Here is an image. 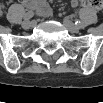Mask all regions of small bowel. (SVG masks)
Masks as SVG:
<instances>
[{
  "instance_id": "small-bowel-1",
  "label": "small bowel",
  "mask_w": 103,
  "mask_h": 103,
  "mask_svg": "<svg viewBox=\"0 0 103 103\" xmlns=\"http://www.w3.org/2000/svg\"><path fill=\"white\" fill-rule=\"evenodd\" d=\"M71 3L73 6H77L79 4V2L77 0H73ZM22 4L27 8L37 10L43 16H49L51 14L50 6L45 1L23 0Z\"/></svg>"
}]
</instances>
